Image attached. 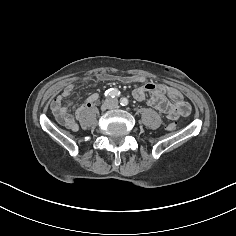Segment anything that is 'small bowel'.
<instances>
[{"instance_id":"c3829d8e","label":"small bowel","mask_w":236,"mask_h":236,"mask_svg":"<svg viewBox=\"0 0 236 236\" xmlns=\"http://www.w3.org/2000/svg\"><path fill=\"white\" fill-rule=\"evenodd\" d=\"M98 79L102 81L118 80L123 83H138L133 91V97L137 101H146L147 104L166 115L169 119L188 116L191 112L189 103L183 100L182 94L172 86L147 82L146 78L141 75L133 76H113L110 74H100ZM86 84L93 83V79H86ZM74 84H68L53 100L51 111L56 122L70 130L77 128V120H79L83 112L95 102L99 95L91 94L85 103L77 108L74 114H70L68 107L64 105L65 100L71 97L74 91Z\"/></svg>"}]
</instances>
